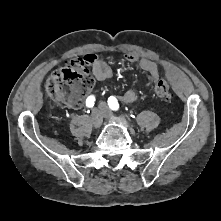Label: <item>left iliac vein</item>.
Masks as SVG:
<instances>
[{
	"mask_svg": "<svg viewBox=\"0 0 221 221\" xmlns=\"http://www.w3.org/2000/svg\"><path fill=\"white\" fill-rule=\"evenodd\" d=\"M100 108L101 110L103 111V116L106 118V119H109L111 121H115V122H118V123H121V124H125V122L120 119V118H117L112 112L111 110L108 108V106L106 105V103L104 102H101L100 103Z\"/></svg>",
	"mask_w": 221,
	"mask_h": 221,
	"instance_id": "1",
	"label": "left iliac vein"
}]
</instances>
